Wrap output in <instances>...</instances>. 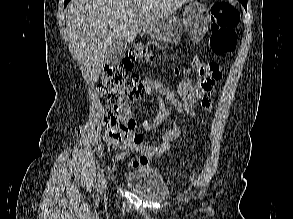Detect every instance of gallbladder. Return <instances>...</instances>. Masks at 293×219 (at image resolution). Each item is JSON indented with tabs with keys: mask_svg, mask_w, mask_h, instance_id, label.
<instances>
[{
	"mask_svg": "<svg viewBox=\"0 0 293 219\" xmlns=\"http://www.w3.org/2000/svg\"><path fill=\"white\" fill-rule=\"evenodd\" d=\"M127 44L123 39H116L105 52V63L109 66L117 65L125 56Z\"/></svg>",
	"mask_w": 293,
	"mask_h": 219,
	"instance_id": "bac80fb5",
	"label": "gallbladder"
}]
</instances>
